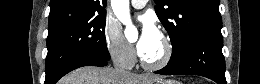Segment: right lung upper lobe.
Listing matches in <instances>:
<instances>
[{
    "instance_id": "obj_1",
    "label": "right lung upper lobe",
    "mask_w": 260,
    "mask_h": 84,
    "mask_svg": "<svg viewBox=\"0 0 260 84\" xmlns=\"http://www.w3.org/2000/svg\"><path fill=\"white\" fill-rule=\"evenodd\" d=\"M106 0H51L48 27L106 12Z\"/></svg>"
}]
</instances>
